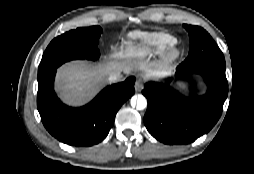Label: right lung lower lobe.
I'll list each match as a JSON object with an SVG mask.
<instances>
[{
  "mask_svg": "<svg viewBox=\"0 0 254 174\" xmlns=\"http://www.w3.org/2000/svg\"><path fill=\"white\" fill-rule=\"evenodd\" d=\"M56 68L38 78L37 108L46 130L57 140L71 146H92L109 133L116 113L134 93L135 77L103 89L89 104L72 108L54 92Z\"/></svg>",
  "mask_w": 254,
  "mask_h": 174,
  "instance_id": "obj_1",
  "label": "right lung lower lobe"
}]
</instances>
